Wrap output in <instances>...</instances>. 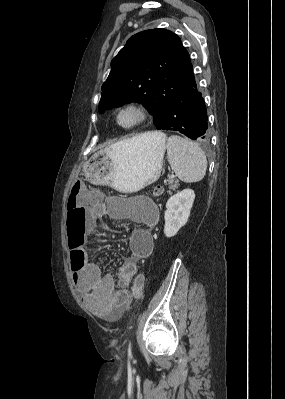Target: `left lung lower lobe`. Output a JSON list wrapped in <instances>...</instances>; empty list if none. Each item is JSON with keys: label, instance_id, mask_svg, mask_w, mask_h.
<instances>
[{"label": "left lung lower lobe", "instance_id": "1", "mask_svg": "<svg viewBox=\"0 0 285 399\" xmlns=\"http://www.w3.org/2000/svg\"><path fill=\"white\" fill-rule=\"evenodd\" d=\"M207 110L194 75L176 92L162 130L179 131L192 140L208 139Z\"/></svg>", "mask_w": 285, "mask_h": 399}]
</instances>
